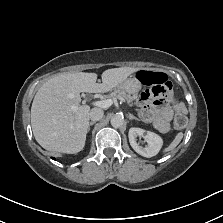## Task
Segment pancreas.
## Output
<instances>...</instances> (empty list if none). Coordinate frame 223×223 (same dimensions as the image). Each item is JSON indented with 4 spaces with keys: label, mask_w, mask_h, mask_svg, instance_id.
<instances>
[{
    "label": "pancreas",
    "mask_w": 223,
    "mask_h": 223,
    "mask_svg": "<svg viewBox=\"0 0 223 223\" xmlns=\"http://www.w3.org/2000/svg\"><path fill=\"white\" fill-rule=\"evenodd\" d=\"M109 97H110V98L123 97V98L126 99V101H127L128 103H131V102L136 98L135 95H127L126 93L116 91V89H112V90L110 91Z\"/></svg>",
    "instance_id": "pancreas-1"
}]
</instances>
